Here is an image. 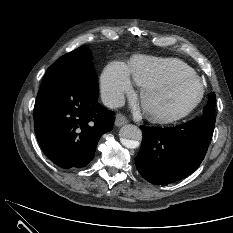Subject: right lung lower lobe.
Here are the masks:
<instances>
[{
	"label": "right lung lower lobe",
	"mask_w": 233,
	"mask_h": 233,
	"mask_svg": "<svg viewBox=\"0 0 233 233\" xmlns=\"http://www.w3.org/2000/svg\"><path fill=\"white\" fill-rule=\"evenodd\" d=\"M95 73L46 74L34 107L35 133L44 153L62 168H81L114 123V112L98 102Z\"/></svg>",
	"instance_id": "right-lung-lower-lobe-1"
}]
</instances>
